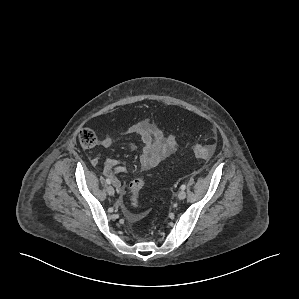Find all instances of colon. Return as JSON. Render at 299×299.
I'll use <instances>...</instances> for the list:
<instances>
[{
	"label": "colon",
	"instance_id": "obj_1",
	"mask_svg": "<svg viewBox=\"0 0 299 299\" xmlns=\"http://www.w3.org/2000/svg\"><path fill=\"white\" fill-rule=\"evenodd\" d=\"M79 141L81 145L84 146L85 148H92L96 145L97 138L95 133L92 130L88 128H84L80 131ZM214 151H215V146L213 144L196 145L193 148V154L200 159L211 158ZM143 186H144V181L142 179H135L130 184L131 201L134 206L138 204V193Z\"/></svg>",
	"mask_w": 299,
	"mask_h": 299
}]
</instances>
